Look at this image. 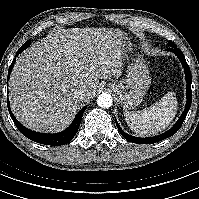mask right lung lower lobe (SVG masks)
<instances>
[{
  "mask_svg": "<svg viewBox=\"0 0 199 199\" xmlns=\"http://www.w3.org/2000/svg\"><path fill=\"white\" fill-rule=\"evenodd\" d=\"M29 45H30L29 41L24 43L20 47V49L17 51L16 56H18ZM14 63H15V59H13L12 64L10 66L7 80L9 79V76H10V73H11V70L13 68ZM7 105H8V110H9L10 116H11L14 124L16 125V127L19 129V131L24 136H26L30 140H33V141H35L37 143H41V144H45V145H51V146L64 145V144L68 143L70 140H72V138L75 136V134L78 131L80 122L82 120L83 112L87 108V106L82 108L80 110V112L77 114V116L75 117V119L72 122V124L66 130H64L63 132L56 133V134H46V133H39V132L31 131V130L27 129L26 127H24L19 121H17L14 118V115L11 112V109H10V103H9L8 99H7Z\"/></svg>",
  "mask_w": 199,
  "mask_h": 199,
  "instance_id": "obj_1",
  "label": "right lung lower lobe"
}]
</instances>
